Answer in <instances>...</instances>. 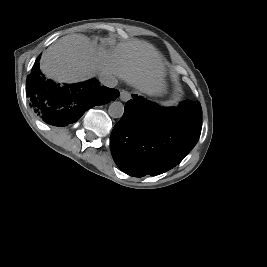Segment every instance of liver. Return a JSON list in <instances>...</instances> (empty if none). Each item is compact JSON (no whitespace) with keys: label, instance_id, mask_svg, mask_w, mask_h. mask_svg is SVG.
I'll use <instances>...</instances> for the list:
<instances>
[{"label":"liver","instance_id":"liver-1","mask_svg":"<svg viewBox=\"0 0 267 267\" xmlns=\"http://www.w3.org/2000/svg\"><path fill=\"white\" fill-rule=\"evenodd\" d=\"M40 69L59 82L76 83L105 72L143 93L163 88L162 57L152 44L139 39L106 50L85 35H66L42 53Z\"/></svg>","mask_w":267,"mask_h":267}]
</instances>
